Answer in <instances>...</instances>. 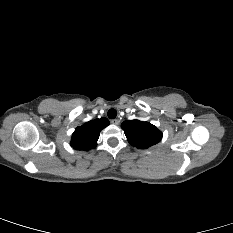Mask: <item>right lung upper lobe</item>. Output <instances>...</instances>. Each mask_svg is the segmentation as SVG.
<instances>
[{
  "instance_id": "1",
  "label": "right lung upper lobe",
  "mask_w": 233,
  "mask_h": 233,
  "mask_svg": "<svg viewBox=\"0 0 233 233\" xmlns=\"http://www.w3.org/2000/svg\"><path fill=\"white\" fill-rule=\"evenodd\" d=\"M109 124V120L101 118L78 126L72 134L71 146L74 149L85 151L96 147L100 131Z\"/></svg>"
}]
</instances>
